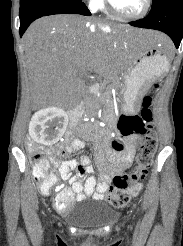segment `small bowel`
Instances as JSON below:
<instances>
[{
  "label": "small bowel",
  "instance_id": "small-bowel-1",
  "mask_svg": "<svg viewBox=\"0 0 183 246\" xmlns=\"http://www.w3.org/2000/svg\"><path fill=\"white\" fill-rule=\"evenodd\" d=\"M83 136L85 139H90L94 145L96 163L101 174L100 180L94 174L91 160L87 155L82 156L80 161L69 159L61 162L55 150H48L53 166L58 168L60 176L71 184V189H65L63 186H57L55 189L59 192V195L69 198L72 204L74 200L80 202L87 198L103 199L104 193L108 189L109 181L119 175L133 161L136 144L141 139V134L123 136L125 151L112 152L113 143L110 141L111 134L109 132L93 134L89 131H83ZM84 146L85 143L82 139L75 138L70 144L62 145L59 149L72 154L83 149ZM74 169H77V173H71ZM83 179H85L84 182ZM55 181L56 178L54 183ZM41 191L44 194H48L50 190ZM70 210L71 208L59 213L64 216Z\"/></svg>",
  "mask_w": 183,
  "mask_h": 246
}]
</instances>
